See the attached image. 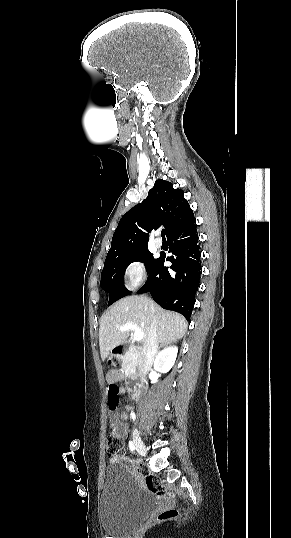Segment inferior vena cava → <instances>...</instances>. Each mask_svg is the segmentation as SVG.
<instances>
[{"mask_svg":"<svg viewBox=\"0 0 291 538\" xmlns=\"http://www.w3.org/2000/svg\"><path fill=\"white\" fill-rule=\"evenodd\" d=\"M158 350V336H157V325L156 320L154 319L150 325L147 341L143 346V356L145 357V371H147L157 354Z\"/></svg>","mask_w":291,"mask_h":538,"instance_id":"602c4592","label":"inferior vena cava"}]
</instances>
